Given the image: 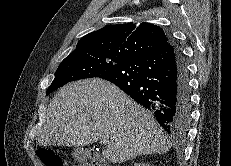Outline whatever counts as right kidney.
<instances>
[{
	"instance_id": "1",
	"label": "right kidney",
	"mask_w": 231,
	"mask_h": 166,
	"mask_svg": "<svg viewBox=\"0 0 231 166\" xmlns=\"http://www.w3.org/2000/svg\"><path fill=\"white\" fill-rule=\"evenodd\" d=\"M134 166H151L150 164L148 163H138V164H135Z\"/></svg>"
}]
</instances>
